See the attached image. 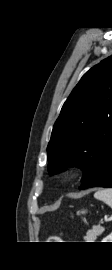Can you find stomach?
Returning a JSON list of instances; mask_svg holds the SVG:
<instances>
[{"mask_svg":"<svg viewBox=\"0 0 112 270\" xmlns=\"http://www.w3.org/2000/svg\"><path fill=\"white\" fill-rule=\"evenodd\" d=\"M82 213H83V214H85V213H86V211H85V210H83V211H82Z\"/></svg>","mask_w":112,"mask_h":270,"instance_id":"0dacf381","label":"stomach"}]
</instances>
